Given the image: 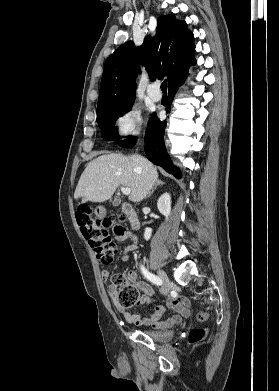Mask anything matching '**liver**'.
<instances>
[{
	"label": "liver",
	"instance_id": "6515ba94",
	"mask_svg": "<svg viewBox=\"0 0 279 391\" xmlns=\"http://www.w3.org/2000/svg\"><path fill=\"white\" fill-rule=\"evenodd\" d=\"M158 181L154 165L139 154L124 156L107 154L93 159L77 184L74 198L104 202L111 198L118 185L131 190L129 200L142 201Z\"/></svg>",
	"mask_w": 279,
	"mask_h": 391
}]
</instances>
